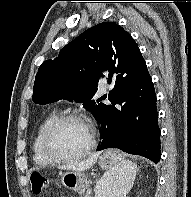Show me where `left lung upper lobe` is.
Segmentation results:
<instances>
[{
	"label": "left lung upper lobe",
	"mask_w": 191,
	"mask_h": 197,
	"mask_svg": "<svg viewBox=\"0 0 191 197\" xmlns=\"http://www.w3.org/2000/svg\"><path fill=\"white\" fill-rule=\"evenodd\" d=\"M146 67L132 36L115 22L100 23L87 29L63 47L54 60L38 69L33 101L48 104L60 99L81 102L95 118L104 104L91 100L104 71L109 79Z\"/></svg>",
	"instance_id": "5c2ea615"
}]
</instances>
